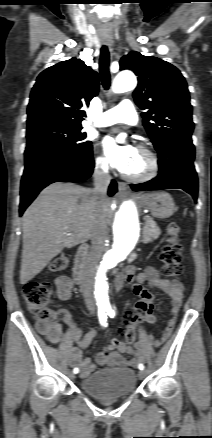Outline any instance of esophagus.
Listing matches in <instances>:
<instances>
[{"label":"esophagus","instance_id":"34e87169","mask_svg":"<svg viewBox=\"0 0 212 438\" xmlns=\"http://www.w3.org/2000/svg\"><path fill=\"white\" fill-rule=\"evenodd\" d=\"M118 189H119V192L123 193V194H126L128 192L127 191V185L124 182H119L118 183Z\"/></svg>","mask_w":212,"mask_h":438}]
</instances>
